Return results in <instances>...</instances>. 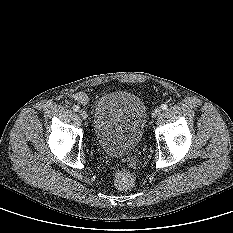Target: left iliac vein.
Segmentation results:
<instances>
[{"label":"left iliac vein","mask_w":233,"mask_h":233,"mask_svg":"<svg viewBox=\"0 0 233 233\" xmlns=\"http://www.w3.org/2000/svg\"><path fill=\"white\" fill-rule=\"evenodd\" d=\"M160 113H161V109L160 108H155L154 110H153V112H152V117L153 118H156V117H158L159 115H160Z\"/></svg>","instance_id":"left-iliac-vein-1"}]
</instances>
